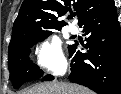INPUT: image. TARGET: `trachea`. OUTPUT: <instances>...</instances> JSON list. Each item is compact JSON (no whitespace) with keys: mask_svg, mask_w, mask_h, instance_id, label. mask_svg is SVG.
Here are the masks:
<instances>
[{"mask_svg":"<svg viewBox=\"0 0 121 94\" xmlns=\"http://www.w3.org/2000/svg\"><path fill=\"white\" fill-rule=\"evenodd\" d=\"M73 16H74V15H71V17H70V18H73Z\"/></svg>","mask_w":121,"mask_h":94,"instance_id":"obj_1","label":"trachea"}]
</instances>
